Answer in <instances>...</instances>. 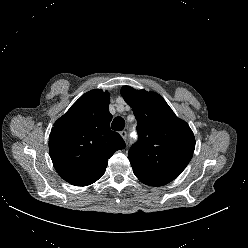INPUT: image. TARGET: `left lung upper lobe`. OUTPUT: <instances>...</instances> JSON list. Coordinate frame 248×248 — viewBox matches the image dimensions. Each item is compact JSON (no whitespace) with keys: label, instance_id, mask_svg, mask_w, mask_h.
I'll return each instance as SVG.
<instances>
[{"label":"left lung upper lobe","instance_id":"1","mask_svg":"<svg viewBox=\"0 0 248 248\" xmlns=\"http://www.w3.org/2000/svg\"><path fill=\"white\" fill-rule=\"evenodd\" d=\"M121 95L137 118L138 142L128 153L133 172L146 185H166L191 160L194 134L159 94L124 86Z\"/></svg>","mask_w":248,"mask_h":248}]
</instances>
